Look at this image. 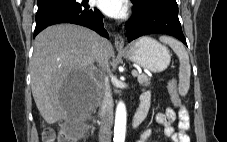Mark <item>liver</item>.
<instances>
[{"label":"liver","mask_w":227,"mask_h":142,"mask_svg":"<svg viewBox=\"0 0 227 142\" xmlns=\"http://www.w3.org/2000/svg\"><path fill=\"white\" fill-rule=\"evenodd\" d=\"M96 40L110 58L113 55L111 43L82 26H50L36 36L30 62L31 89L47 123L69 117L73 112L69 98L78 93L80 83L96 81L92 51Z\"/></svg>","instance_id":"obj_1"}]
</instances>
